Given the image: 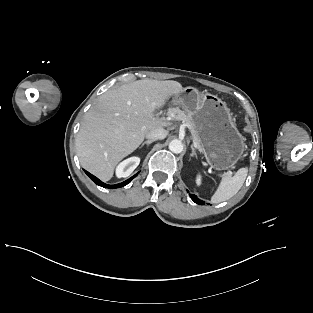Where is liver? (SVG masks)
Segmentation results:
<instances>
[{
    "label": "liver",
    "mask_w": 313,
    "mask_h": 313,
    "mask_svg": "<svg viewBox=\"0 0 313 313\" xmlns=\"http://www.w3.org/2000/svg\"><path fill=\"white\" fill-rule=\"evenodd\" d=\"M182 90L176 81L144 79L101 95L86 113L76 137L82 167L102 181L110 180L117 164L135 151L150 131L163 129L166 119L155 117L154 111Z\"/></svg>",
    "instance_id": "obj_1"
}]
</instances>
